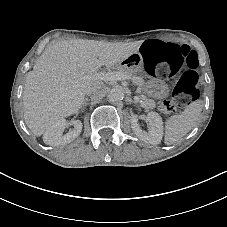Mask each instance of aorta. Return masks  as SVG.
Returning a JSON list of instances; mask_svg holds the SVG:
<instances>
[{
	"label": "aorta",
	"instance_id": "obj_1",
	"mask_svg": "<svg viewBox=\"0 0 227 227\" xmlns=\"http://www.w3.org/2000/svg\"><path fill=\"white\" fill-rule=\"evenodd\" d=\"M108 99L112 103L122 101L124 99V90L121 87L112 88L108 93Z\"/></svg>",
	"mask_w": 227,
	"mask_h": 227
}]
</instances>
